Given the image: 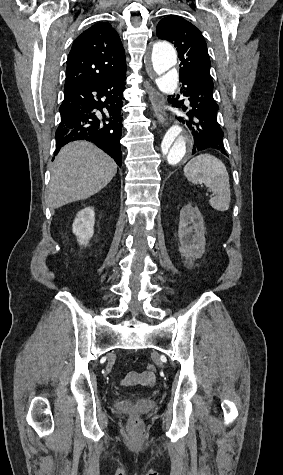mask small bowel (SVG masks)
I'll return each instance as SVG.
<instances>
[{
  "label": "small bowel",
  "mask_w": 283,
  "mask_h": 475,
  "mask_svg": "<svg viewBox=\"0 0 283 475\" xmlns=\"http://www.w3.org/2000/svg\"><path fill=\"white\" fill-rule=\"evenodd\" d=\"M123 380L121 381L122 385H130L132 383H140L143 385H152L154 383V378L152 377L150 380L147 381H140L144 378V373L142 371H129L122 373ZM137 380V381H129V380Z\"/></svg>",
  "instance_id": "obj_1"
}]
</instances>
